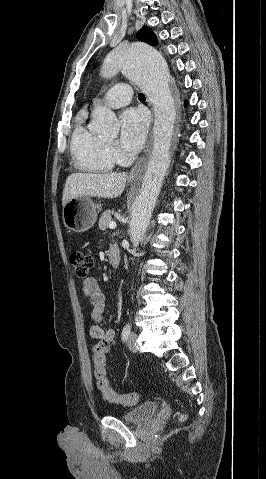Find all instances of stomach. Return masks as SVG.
<instances>
[{
    "label": "stomach",
    "instance_id": "0dacf381",
    "mask_svg": "<svg viewBox=\"0 0 266 479\" xmlns=\"http://www.w3.org/2000/svg\"><path fill=\"white\" fill-rule=\"evenodd\" d=\"M100 210L101 205L94 203L88 196L72 198L63 206L64 225L70 231L85 232L93 227Z\"/></svg>",
    "mask_w": 266,
    "mask_h": 479
}]
</instances>
